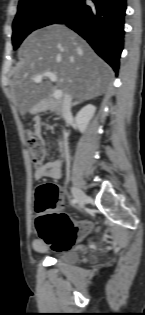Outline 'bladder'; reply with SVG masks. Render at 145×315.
<instances>
[{
	"instance_id": "1",
	"label": "bladder",
	"mask_w": 145,
	"mask_h": 315,
	"mask_svg": "<svg viewBox=\"0 0 145 315\" xmlns=\"http://www.w3.org/2000/svg\"><path fill=\"white\" fill-rule=\"evenodd\" d=\"M55 259L65 264H76L78 262V250L76 248L61 249Z\"/></svg>"
}]
</instances>
